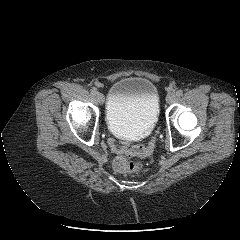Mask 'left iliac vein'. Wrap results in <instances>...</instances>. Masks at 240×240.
Returning a JSON list of instances; mask_svg holds the SVG:
<instances>
[{
	"label": "left iliac vein",
	"mask_w": 240,
	"mask_h": 240,
	"mask_svg": "<svg viewBox=\"0 0 240 240\" xmlns=\"http://www.w3.org/2000/svg\"><path fill=\"white\" fill-rule=\"evenodd\" d=\"M176 93L175 92H169L166 96L167 103L171 104L176 100Z\"/></svg>",
	"instance_id": "left-iliac-vein-1"
}]
</instances>
